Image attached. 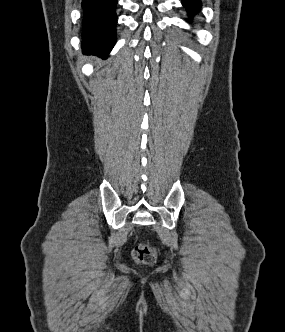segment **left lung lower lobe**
Listing matches in <instances>:
<instances>
[{"instance_id":"0a47b994","label":"left lung lower lobe","mask_w":285,"mask_h":332,"mask_svg":"<svg viewBox=\"0 0 285 332\" xmlns=\"http://www.w3.org/2000/svg\"><path fill=\"white\" fill-rule=\"evenodd\" d=\"M182 4L190 14L197 12L201 6L200 0H182Z\"/></svg>"}]
</instances>
